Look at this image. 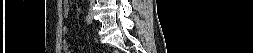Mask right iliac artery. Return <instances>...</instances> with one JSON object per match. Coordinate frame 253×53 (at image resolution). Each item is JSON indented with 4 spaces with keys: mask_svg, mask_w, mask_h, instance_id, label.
<instances>
[{
    "mask_svg": "<svg viewBox=\"0 0 253 53\" xmlns=\"http://www.w3.org/2000/svg\"><path fill=\"white\" fill-rule=\"evenodd\" d=\"M85 20H86V22H87L88 24H91V23H92V18H91L90 15H87V16L85 17Z\"/></svg>",
    "mask_w": 253,
    "mask_h": 53,
    "instance_id": "right-iliac-artery-1",
    "label": "right iliac artery"
}]
</instances>
